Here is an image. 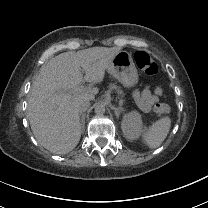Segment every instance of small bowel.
Returning <instances> with one entry per match:
<instances>
[{
	"label": "small bowel",
	"instance_id": "c3829d8e",
	"mask_svg": "<svg viewBox=\"0 0 208 208\" xmlns=\"http://www.w3.org/2000/svg\"><path fill=\"white\" fill-rule=\"evenodd\" d=\"M140 108L149 112L153 105L156 104L163 96V90L161 86H157L154 90H151L148 86L144 87L141 91L134 93Z\"/></svg>",
	"mask_w": 208,
	"mask_h": 208
}]
</instances>
